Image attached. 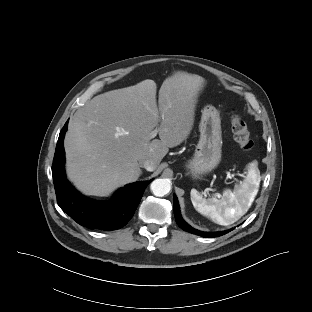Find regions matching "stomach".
Listing matches in <instances>:
<instances>
[{
  "mask_svg": "<svg viewBox=\"0 0 312 312\" xmlns=\"http://www.w3.org/2000/svg\"><path fill=\"white\" fill-rule=\"evenodd\" d=\"M199 129V142L193 156L185 165L195 178L211 172L221 161V119L214 106L207 105L202 110Z\"/></svg>",
  "mask_w": 312,
  "mask_h": 312,
  "instance_id": "stomach-1",
  "label": "stomach"
}]
</instances>
